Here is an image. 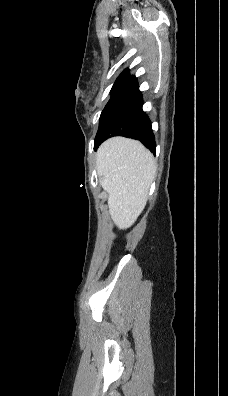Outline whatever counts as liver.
Instances as JSON below:
<instances>
[{
    "label": "liver",
    "mask_w": 228,
    "mask_h": 396,
    "mask_svg": "<svg viewBox=\"0 0 228 396\" xmlns=\"http://www.w3.org/2000/svg\"><path fill=\"white\" fill-rule=\"evenodd\" d=\"M96 168L113 222L119 229L131 227L145 208L156 174L153 155L139 141L113 137L99 147Z\"/></svg>",
    "instance_id": "6515ba94"
}]
</instances>
